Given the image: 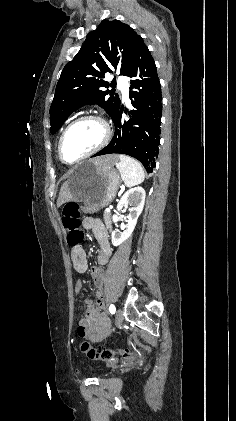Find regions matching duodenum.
<instances>
[{
  "instance_id": "obj_1",
  "label": "duodenum",
  "mask_w": 236,
  "mask_h": 421,
  "mask_svg": "<svg viewBox=\"0 0 236 421\" xmlns=\"http://www.w3.org/2000/svg\"><path fill=\"white\" fill-rule=\"evenodd\" d=\"M111 250L108 246H103V251L98 259L100 265H104L108 262L110 258ZM93 279L95 280L98 289H97V305L98 308H102L105 305V297H104V271L101 267H97L93 269L92 272ZM91 318L95 320L93 325L84 322L83 330L86 335L90 336H98L100 334V324H99V317L95 310L91 309ZM98 318L97 320L95 318Z\"/></svg>"
}]
</instances>
